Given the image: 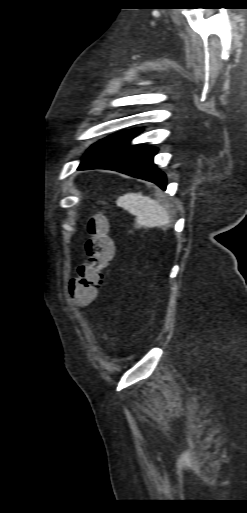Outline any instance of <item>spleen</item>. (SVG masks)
Here are the masks:
<instances>
[{
  "label": "spleen",
  "instance_id": "obj_1",
  "mask_svg": "<svg viewBox=\"0 0 247 513\" xmlns=\"http://www.w3.org/2000/svg\"><path fill=\"white\" fill-rule=\"evenodd\" d=\"M117 205L136 216L137 223L145 227L167 224L169 215L156 200L141 193H127L118 198Z\"/></svg>",
  "mask_w": 247,
  "mask_h": 513
}]
</instances>
